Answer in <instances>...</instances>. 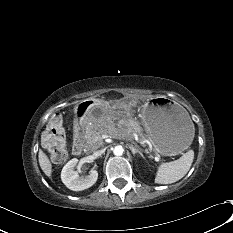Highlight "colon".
<instances>
[{
    "instance_id": "obj_1",
    "label": "colon",
    "mask_w": 233,
    "mask_h": 233,
    "mask_svg": "<svg viewBox=\"0 0 233 233\" xmlns=\"http://www.w3.org/2000/svg\"><path fill=\"white\" fill-rule=\"evenodd\" d=\"M44 144L50 159L61 164L67 159V143L64 135L63 121L59 114H54L48 122L44 133Z\"/></svg>"
}]
</instances>
